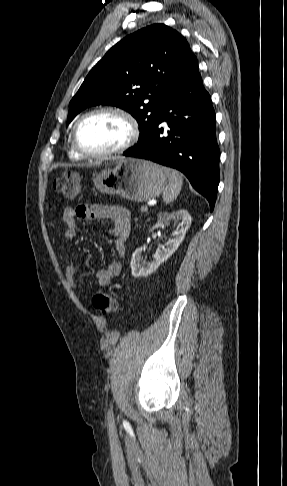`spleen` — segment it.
Masks as SVG:
<instances>
[{
	"label": "spleen",
	"mask_w": 287,
	"mask_h": 486,
	"mask_svg": "<svg viewBox=\"0 0 287 486\" xmlns=\"http://www.w3.org/2000/svg\"><path fill=\"white\" fill-rule=\"evenodd\" d=\"M169 181L166 186L162 198L165 203L173 202L180 193L183 179L182 176L176 170L170 168H163Z\"/></svg>",
	"instance_id": "3e777b00"
}]
</instances>
